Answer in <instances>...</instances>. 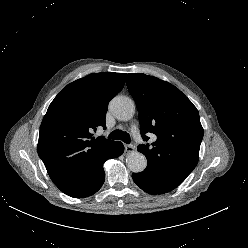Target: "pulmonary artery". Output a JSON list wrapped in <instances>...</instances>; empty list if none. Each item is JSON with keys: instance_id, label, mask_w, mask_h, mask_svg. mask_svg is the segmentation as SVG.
<instances>
[{"instance_id": "pulmonary-artery-1", "label": "pulmonary artery", "mask_w": 248, "mask_h": 248, "mask_svg": "<svg viewBox=\"0 0 248 248\" xmlns=\"http://www.w3.org/2000/svg\"><path fill=\"white\" fill-rule=\"evenodd\" d=\"M132 133H133V136L135 137L136 141L140 142L142 140L140 132H139L137 127L132 128Z\"/></svg>"}]
</instances>
